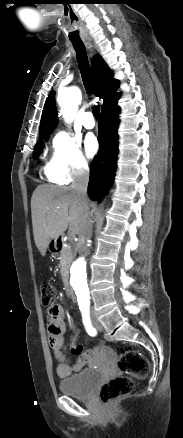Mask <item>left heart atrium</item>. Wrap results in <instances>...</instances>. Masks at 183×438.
I'll return each mask as SVG.
<instances>
[{"instance_id":"left-heart-atrium-1","label":"left heart atrium","mask_w":183,"mask_h":438,"mask_svg":"<svg viewBox=\"0 0 183 438\" xmlns=\"http://www.w3.org/2000/svg\"><path fill=\"white\" fill-rule=\"evenodd\" d=\"M85 151L89 157L94 156L99 148L98 141L94 135H87L84 140Z\"/></svg>"}]
</instances>
